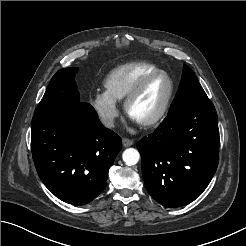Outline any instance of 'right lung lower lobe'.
I'll return each mask as SVG.
<instances>
[{"label": "right lung lower lobe", "mask_w": 246, "mask_h": 246, "mask_svg": "<svg viewBox=\"0 0 246 246\" xmlns=\"http://www.w3.org/2000/svg\"><path fill=\"white\" fill-rule=\"evenodd\" d=\"M31 147L45 186L66 203L84 205L104 190L122 143L90 104L79 102L61 115L34 117Z\"/></svg>", "instance_id": "98d812e1"}]
</instances>
